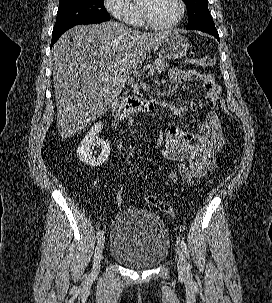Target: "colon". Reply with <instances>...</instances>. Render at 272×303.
I'll return each mask as SVG.
<instances>
[{"label": "colon", "mask_w": 272, "mask_h": 303, "mask_svg": "<svg viewBox=\"0 0 272 303\" xmlns=\"http://www.w3.org/2000/svg\"><path fill=\"white\" fill-rule=\"evenodd\" d=\"M186 62L189 64L199 66V67H210L214 64L215 58L212 55H205L200 58L187 59ZM220 107L224 113H226L230 117L234 118V116L229 112L226 102L223 99L220 101ZM144 200L147 204L155 207L156 209H158L159 211H161L163 213H166V214L173 213V209L168 203L160 200L153 194H145ZM123 201H124L123 194H122L121 190L118 189L117 193H116V202L118 205H121L123 203Z\"/></svg>", "instance_id": "colon-1"}]
</instances>
